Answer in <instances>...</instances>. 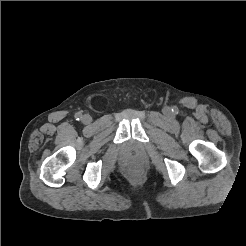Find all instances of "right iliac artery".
I'll return each instance as SVG.
<instances>
[{"instance_id": "1", "label": "right iliac artery", "mask_w": 246, "mask_h": 246, "mask_svg": "<svg viewBox=\"0 0 246 246\" xmlns=\"http://www.w3.org/2000/svg\"><path fill=\"white\" fill-rule=\"evenodd\" d=\"M75 119L78 120V121L81 120L82 119V114L81 113H76L75 114Z\"/></svg>"}]
</instances>
